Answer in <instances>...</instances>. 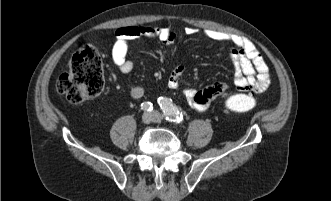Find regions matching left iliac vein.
Listing matches in <instances>:
<instances>
[{"label": "left iliac vein", "instance_id": "left-iliac-vein-1", "mask_svg": "<svg viewBox=\"0 0 331 201\" xmlns=\"http://www.w3.org/2000/svg\"><path fill=\"white\" fill-rule=\"evenodd\" d=\"M151 115H152V118H153V121H154V122L159 123V122L161 121V115H160L159 112H157V111H153V112L151 113Z\"/></svg>", "mask_w": 331, "mask_h": 201}]
</instances>
